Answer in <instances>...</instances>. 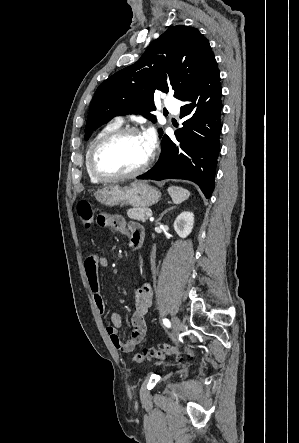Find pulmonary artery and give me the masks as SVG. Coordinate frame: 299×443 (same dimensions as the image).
Wrapping results in <instances>:
<instances>
[{"instance_id":"1","label":"pulmonary artery","mask_w":299,"mask_h":443,"mask_svg":"<svg viewBox=\"0 0 299 443\" xmlns=\"http://www.w3.org/2000/svg\"><path fill=\"white\" fill-rule=\"evenodd\" d=\"M164 104L171 113L177 114L179 112V103L176 98H174L170 95H167L165 97ZM116 120L121 123L123 122V119L121 117L117 118Z\"/></svg>"}]
</instances>
